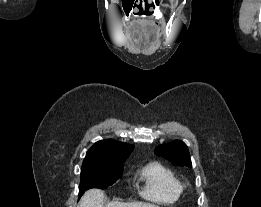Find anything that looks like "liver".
<instances>
[{
	"mask_svg": "<svg viewBox=\"0 0 261 207\" xmlns=\"http://www.w3.org/2000/svg\"><path fill=\"white\" fill-rule=\"evenodd\" d=\"M104 192L100 189H90L82 196L78 207H159L154 204L145 202H110L108 205H103Z\"/></svg>",
	"mask_w": 261,
	"mask_h": 207,
	"instance_id": "1",
	"label": "liver"
}]
</instances>
